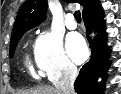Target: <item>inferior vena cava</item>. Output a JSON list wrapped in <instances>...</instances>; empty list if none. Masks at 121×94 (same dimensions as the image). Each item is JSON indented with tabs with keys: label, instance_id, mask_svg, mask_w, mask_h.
I'll list each match as a JSON object with an SVG mask.
<instances>
[{
	"label": "inferior vena cava",
	"instance_id": "inferior-vena-cava-1",
	"mask_svg": "<svg viewBox=\"0 0 121 94\" xmlns=\"http://www.w3.org/2000/svg\"><path fill=\"white\" fill-rule=\"evenodd\" d=\"M78 75L77 68L72 63H67L64 67V76L62 80L56 84V89L59 94H75L74 82Z\"/></svg>",
	"mask_w": 121,
	"mask_h": 94
}]
</instances>
